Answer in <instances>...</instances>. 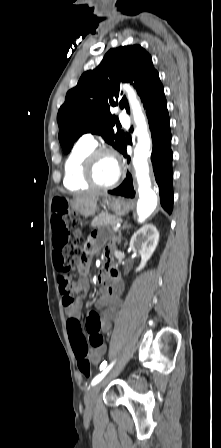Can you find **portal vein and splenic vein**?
Segmentation results:
<instances>
[{
	"mask_svg": "<svg viewBox=\"0 0 221 448\" xmlns=\"http://www.w3.org/2000/svg\"><path fill=\"white\" fill-rule=\"evenodd\" d=\"M120 226H121V224H120V223H117V224L113 227V230H114V231H117V230L120 228Z\"/></svg>",
	"mask_w": 221,
	"mask_h": 448,
	"instance_id": "portal-vein-and-splenic-vein-1",
	"label": "portal vein and splenic vein"
}]
</instances>
